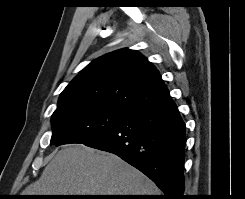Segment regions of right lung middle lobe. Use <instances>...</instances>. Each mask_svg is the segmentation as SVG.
Listing matches in <instances>:
<instances>
[{"instance_id": "right-lung-middle-lobe-1", "label": "right lung middle lobe", "mask_w": 245, "mask_h": 199, "mask_svg": "<svg viewBox=\"0 0 245 199\" xmlns=\"http://www.w3.org/2000/svg\"><path fill=\"white\" fill-rule=\"evenodd\" d=\"M128 113L96 104L55 110L51 144L85 143L118 124Z\"/></svg>"}]
</instances>
